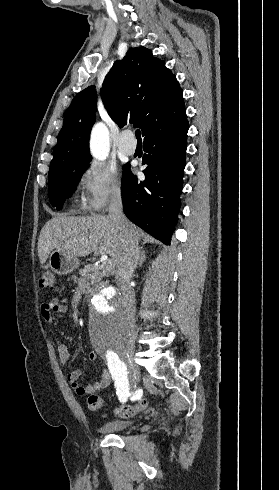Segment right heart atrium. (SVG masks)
<instances>
[{
    "mask_svg": "<svg viewBox=\"0 0 279 490\" xmlns=\"http://www.w3.org/2000/svg\"><path fill=\"white\" fill-rule=\"evenodd\" d=\"M79 185L84 209L90 215L102 213L110 201L121 198L124 189L117 169L99 162H91L84 168Z\"/></svg>",
    "mask_w": 279,
    "mask_h": 490,
    "instance_id": "1",
    "label": "right heart atrium"
}]
</instances>
